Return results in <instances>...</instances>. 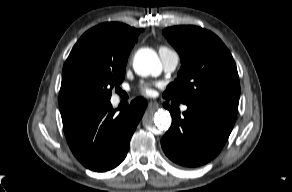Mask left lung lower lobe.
Listing matches in <instances>:
<instances>
[{"instance_id": "0a47b994", "label": "left lung lower lobe", "mask_w": 292, "mask_h": 192, "mask_svg": "<svg viewBox=\"0 0 292 192\" xmlns=\"http://www.w3.org/2000/svg\"><path fill=\"white\" fill-rule=\"evenodd\" d=\"M172 125L161 139L167 157L184 167H197L214 159L234 126L237 109L220 105H187L183 116L167 103Z\"/></svg>"}]
</instances>
